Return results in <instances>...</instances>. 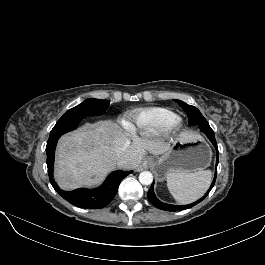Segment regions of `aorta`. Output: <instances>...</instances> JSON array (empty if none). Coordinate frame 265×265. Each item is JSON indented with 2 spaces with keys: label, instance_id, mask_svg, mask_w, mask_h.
I'll return each mask as SVG.
<instances>
[{
  "label": "aorta",
  "instance_id": "762f6f07",
  "mask_svg": "<svg viewBox=\"0 0 265 265\" xmlns=\"http://www.w3.org/2000/svg\"><path fill=\"white\" fill-rule=\"evenodd\" d=\"M139 181L143 185H150L153 182V175L149 171H143L139 175Z\"/></svg>",
  "mask_w": 265,
  "mask_h": 265
}]
</instances>
